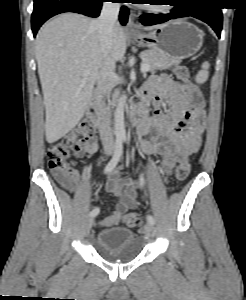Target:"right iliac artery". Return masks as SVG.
<instances>
[{
    "instance_id": "1",
    "label": "right iliac artery",
    "mask_w": 246,
    "mask_h": 300,
    "mask_svg": "<svg viewBox=\"0 0 246 300\" xmlns=\"http://www.w3.org/2000/svg\"><path fill=\"white\" fill-rule=\"evenodd\" d=\"M122 154H123V141L122 139H118L116 140L114 155L104 169L105 174L110 173L116 167ZM98 213H99V208L96 207L90 212V216L95 217L98 215Z\"/></svg>"
}]
</instances>
